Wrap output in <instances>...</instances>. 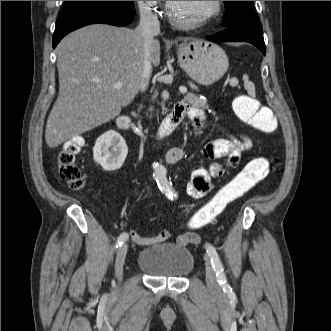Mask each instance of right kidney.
Instances as JSON below:
<instances>
[{"instance_id": "right-kidney-1", "label": "right kidney", "mask_w": 331, "mask_h": 331, "mask_svg": "<svg viewBox=\"0 0 331 331\" xmlns=\"http://www.w3.org/2000/svg\"><path fill=\"white\" fill-rule=\"evenodd\" d=\"M128 154V148L123 137L114 130L103 133L96 140L93 148L94 161L105 171L119 169Z\"/></svg>"}]
</instances>
